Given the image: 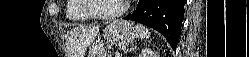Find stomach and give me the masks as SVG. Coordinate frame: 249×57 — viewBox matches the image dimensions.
I'll return each mask as SVG.
<instances>
[{
	"instance_id": "0dacf381",
	"label": "stomach",
	"mask_w": 249,
	"mask_h": 57,
	"mask_svg": "<svg viewBox=\"0 0 249 57\" xmlns=\"http://www.w3.org/2000/svg\"><path fill=\"white\" fill-rule=\"evenodd\" d=\"M136 37H138L137 28L130 21H114L107 25L103 31L104 40L111 45L125 46ZM106 55L101 43L96 42L90 48L88 57H106Z\"/></svg>"
}]
</instances>
